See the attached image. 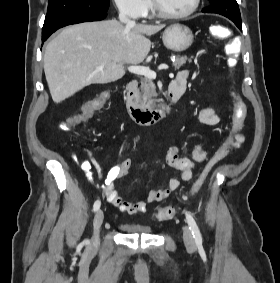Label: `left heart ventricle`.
I'll list each match as a JSON object with an SVG mask.
<instances>
[{
  "label": "left heart ventricle",
  "mask_w": 280,
  "mask_h": 283,
  "mask_svg": "<svg viewBox=\"0 0 280 283\" xmlns=\"http://www.w3.org/2000/svg\"><path fill=\"white\" fill-rule=\"evenodd\" d=\"M156 3L167 13L179 14L190 9L193 0H156Z\"/></svg>",
  "instance_id": "obj_1"
}]
</instances>
